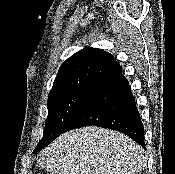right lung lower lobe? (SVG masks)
<instances>
[{"label": "right lung lower lobe", "mask_w": 175, "mask_h": 174, "mask_svg": "<svg viewBox=\"0 0 175 174\" xmlns=\"http://www.w3.org/2000/svg\"><path fill=\"white\" fill-rule=\"evenodd\" d=\"M91 125L124 133L145 148L144 126L129 83L121 70L91 90L66 131ZM43 148L35 149V152Z\"/></svg>", "instance_id": "98d812e1"}]
</instances>
